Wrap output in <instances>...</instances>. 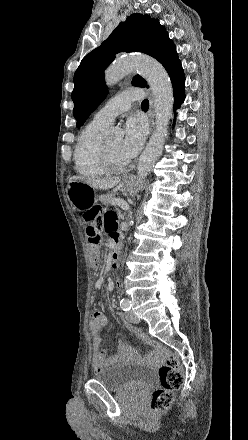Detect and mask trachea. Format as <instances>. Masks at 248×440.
Returning <instances> with one entry per match:
<instances>
[{
	"label": "trachea",
	"instance_id": "obj_1",
	"mask_svg": "<svg viewBox=\"0 0 248 440\" xmlns=\"http://www.w3.org/2000/svg\"><path fill=\"white\" fill-rule=\"evenodd\" d=\"M141 107H142L143 109H148V107H149V101H148L147 99H144V100L142 101V103H141Z\"/></svg>",
	"mask_w": 248,
	"mask_h": 440
}]
</instances>
